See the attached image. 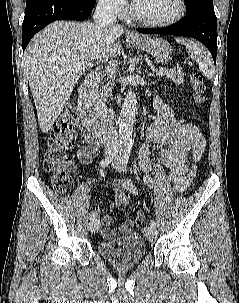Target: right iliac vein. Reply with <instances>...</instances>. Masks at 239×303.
Listing matches in <instances>:
<instances>
[{
  "label": "right iliac vein",
  "instance_id": "obj_1",
  "mask_svg": "<svg viewBox=\"0 0 239 303\" xmlns=\"http://www.w3.org/2000/svg\"><path fill=\"white\" fill-rule=\"evenodd\" d=\"M111 159L110 157H108ZM100 227V221L98 218H94L89 224V230L91 233H95Z\"/></svg>",
  "mask_w": 239,
  "mask_h": 303
}]
</instances>
